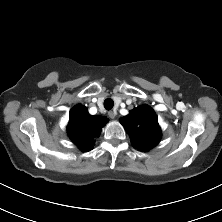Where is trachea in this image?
Wrapping results in <instances>:
<instances>
[{"label":"trachea","instance_id":"trachea-1","mask_svg":"<svg viewBox=\"0 0 222 222\" xmlns=\"http://www.w3.org/2000/svg\"><path fill=\"white\" fill-rule=\"evenodd\" d=\"M114 106V102L112 99L110 98H107L105 101H104V107L106 110H111Z\"/></svg>","mask_w":222,"mask_h":222}]
</instances>
